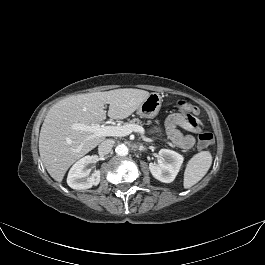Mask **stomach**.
Segmentation results:
<instances>
[{"mask_svg": "<svg viewBox=\"0 0 265 265\" xmlns=\"http://www.w3.org/2000/svg\"><path fill=\"white\" fill-rule=\"evenodd\" d=\"M162 97L159 93H151L137 109V114L144 118H154L160 111Z\"/></svg>", "mask_w": 265, "mask_h": 265, "instance_id": "0dacf381", "label": "stomach"}]
</instances>
